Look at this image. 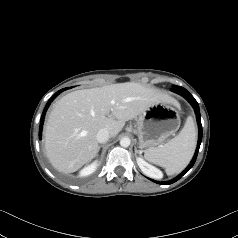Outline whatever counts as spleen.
<instances>
[{
	"instance_id": "spleen-1",
	"label": "spleen",
	"mask_w": 238,
	"mask_h": 238,
	"mask_svg": "<svg viewBox=\"0 0 238 238\" xmlns=\"http://www.w3.org/2000/svg\"><path fill=\"white\" fill-rule=\"evenodd\" d=\"M197 132L194 121L188 117L180 133L158 147L148 148L144 158L165 168L167 175L181 172L191 160L196 147Z\"/></svg>"
}]
</instances>
